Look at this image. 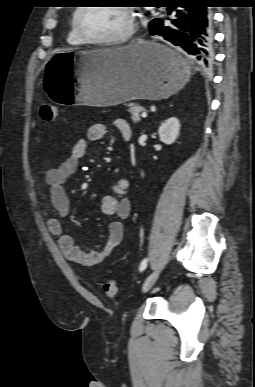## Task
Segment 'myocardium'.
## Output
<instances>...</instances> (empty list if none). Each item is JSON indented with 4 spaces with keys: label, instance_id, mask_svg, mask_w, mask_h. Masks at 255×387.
<instances>
[{
    "label": "myocardium",
    "instance_id": "f54148a6",
    "mask_svg": "<svg viewBox=\"0 0 255 387\" xmlns=\"http://www.w3.org/2000/svg\"><path fill=\"white\" fill-rule=\"evenodd\" d=\"M88 7L89 6L78 7L75 10V12L73 14V19H72L74 30H75L77 36L84 43L91 44V45H98V46L121 45V44H125L128 41H130L131 38L134 36V34L136 32V27H137V15H136L135 11L133 10V8H131L129 6H123V5L116 6V7L121 9L126 14V16L128 17V20H129L128 29L124 34H122L119 37L110 38V39H95V38L88 36L84 32V30L82 29L81 24H80V15Z\"/></svg>",
    "mask_w": 255,
    "mask_h": 387
}]
</instances>
